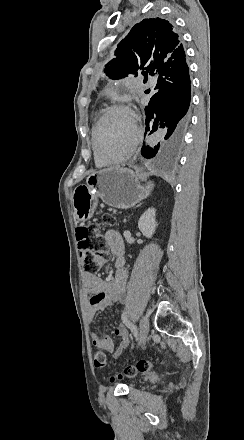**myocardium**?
Wrapping results in <instances>:
<instances>
[{
  "mask_svg": "<svg viewBox=\"0 0 244 440\" xmlns=\"http://www.w3.org/2000/svg\"><path fill=\"white\" fill-rule=\"evenodd\" d=\"M116 110L124 111V112H127V113L131 114V111L129 110V108L126 107L125 105H122V104H116V105H112V106L107 107L104 110V112H103L101 122H97V132H95V138L93 139L96 157L98 159L104 161V162H107V163H110V162H112V163H123V162H125L129 158L128 154L127 155H123V156H119L118 158H113L112 157L113 156L112 153L109 152L108 154H102L104 151L102 149L99 150L97 148V147L100 146V143H101L100 136H101V133H103L102 126L104 124L108 123L109 115L113 111H116ZM131 141H132V139H130L127 142H125V144L128 143V142H131ZM120 146H122V145L115 146L114 149H117Z\"/></svg>",
  "mask_w": 244,
  "mask_h": 440,
  "instance_id": "1",
  "label": "myocardium"
}]
</instances>
